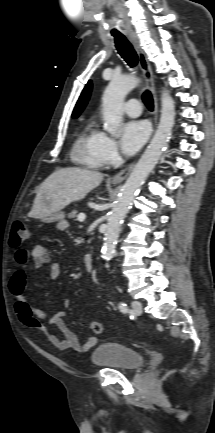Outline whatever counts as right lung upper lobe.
Listing matches in <instances>:
<instances>
[{
	"label": "right lung upper lobe",
	"mask_w": 215,
	"mask_h": 433,
	"mask_svg": "<svg viewBox=\"0 0 215 433\" xmlns=\"http://www.w3.org/2000/svg\"><path fill=\"white\" fill-rule=\"evenodd\" d=\"M91 82L89 81L87 83V85L85 86L84 90L82 91V94L74 108V111L72 113V117L73 118H77L79 116V114L82 112V110L84 109V107L86 106L90 93H91Z\"/></svg>",
	"instance_id": "right-lung-upper-lobe-1"
}]
</instances>
